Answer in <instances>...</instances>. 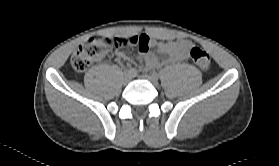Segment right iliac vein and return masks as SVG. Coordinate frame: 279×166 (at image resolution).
Returning <instances> with one entry per match:
<instances>
[{
  "instance_id": "right-iliac-vein-1",
  "label": "right iliac vein",
  "mask_w": 279,
  "mask_h": 166,
  "mask_svg": "<svg viewBox=\"0 0 279 166\" xmlns=\"http://www.w3.org/2000/svg\"><path fill=\"white\" fill-rule=\"evenodd\" d=\"M132 77H133V76H132L131 74L125 73V75H124V77H123V83H124V84L129 83V82L131 81Z\"/></svg>"
}]
</instances>
